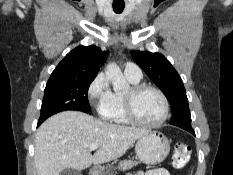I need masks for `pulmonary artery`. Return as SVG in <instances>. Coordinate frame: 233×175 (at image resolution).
<instances>
[{
    "label": "pulmonary artery",
    "instance_id": "1",
    "mask_svg": "<svg viewBox=\"0 0 233 175\" xmlns=\"http://www.w3.org/2000/svg\"><path fill=\"white\" fill-rule=\"evenodd\" d=\"M124 74L126 77H129L134 80H140L142 77V72L139 66L132 62H128L125 64Z\"/></svg>",
    "mask_w": 233,
    "mask_h": 175
}]
</instances>
